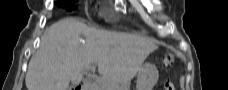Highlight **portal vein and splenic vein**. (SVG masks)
<instances>
[{
	"mask_svg": "<svg viewBox=\"0 0 228 90\" xmlns=\"http://www.w3.org/2000/svg\"><path fill=\"white\" fill-rule=\"evenodd\" d=\"M89 69H92V70H94V67H86L85 69H84V71H87V70H89Z\"/></svg>",
	"mask_w": 228,
	"mask_h": 90,
	"instance_id": "1",
	"label": "portal vein and splenic vein"
}]
</instances>
